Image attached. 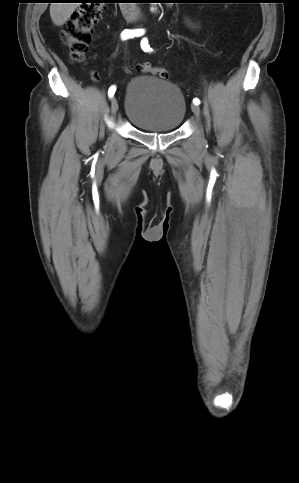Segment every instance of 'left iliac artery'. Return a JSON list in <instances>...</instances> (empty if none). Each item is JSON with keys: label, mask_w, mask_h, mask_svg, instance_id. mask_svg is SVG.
<instances>
[{"label": "left iliac artery", "mask_w": 299, "mask_h": 483, "mask_svg": "<svg viewBox=\"0 0 299 483\" xmlns=\"http://www.w3.org/2000/svg\"><path fill=\"white\" fill-rule=\"evenodd\" d=\"M141 48L144 52H151L152 51V48L150 47V45L148 44V39L147 38H143L141 40ZM193 103L195 105H199L200 104V100L198 98H194L193 99Z\"/></svg>", "instance_id": "left-iliac-artery-1"}]
</instances>
